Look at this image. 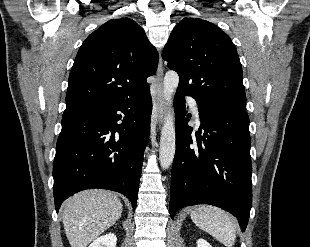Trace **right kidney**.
Returning a JSON list of instances; mask_svg holds the SVG:
<instances>
[{
    "mask_svg": "<svg viewBox=\"0 0 310 247\" xmlns=\"http://www.w3.org/2000/svg\"><path fill=\"white\" fill-rule=\"evenodd\" d=\"M116 242V235L108 233L95 239L89 247H116Z\"/></svg>",
    "mask_w": 310,
    "mask_h": 247,
    "instance_id": "obj_1",
    "label": "right kidney"
}]
</instances>
